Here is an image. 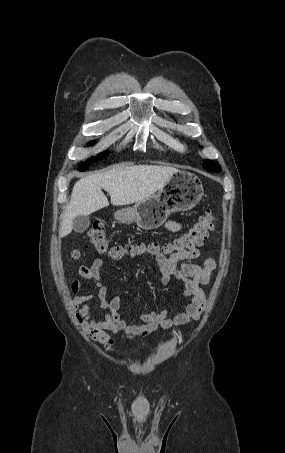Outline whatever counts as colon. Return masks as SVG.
<instances>
[{"instance_id": "colon-1", "label": "colon", "mask_w": 285, "mask_h": 453, "mask_svg": "<svg viewBox=\"0 0 285 453\" xmlns=\"http://www.w3.org/2000/svg\"><path fill=\"white\" fill-rule=\"evenodd\" d=\"M215 217L210 210L199 218V220L189 228V230L169 243L159 246L157 244L144 246L143 244H135L129 247L121 245H111L104 226L101 223H94L88 232L89 242L93 250L98 254H107L112 258L120 259L125 255L142 254L146 250H150L152 255L161 254L165 257L190 253L206 242L210 231L214 227ZM79 252L74 251L73 257H78Z\"/></svg>"}]
</instances>
